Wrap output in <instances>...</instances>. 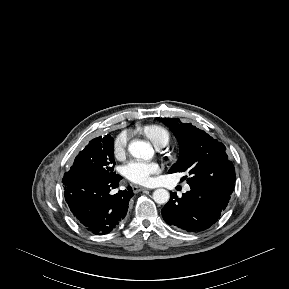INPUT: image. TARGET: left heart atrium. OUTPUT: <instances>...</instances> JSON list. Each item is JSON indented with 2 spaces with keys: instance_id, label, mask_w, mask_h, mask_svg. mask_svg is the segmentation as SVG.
I'll list each match as a JSON object with an SVG mask.
<instances>
[{
  "instance_id": "obj_1",
  "label": "left heart atrium",
  "mask_w": 289,
  "mask_h": 289,
  "mask_svg": "<svg viewBox=\"0 0 289 289\" xmlns=\"http://www.w3.org/2000/svg\"><path fill=\"white\" fill-rule=\"evenodd\" d=\"M161 171L157 162L132 160L123 168L124 176L131 182L139 185H150L153 176Z\"/></svg>"
}]
</instances>
